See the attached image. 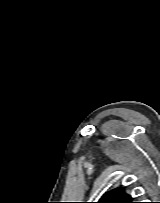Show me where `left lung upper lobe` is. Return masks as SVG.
<instances>
[{"instance_id": "obj_1", "label": "left lung upper lobe", "mask_w": 160, "mask_h": 203, "mask_svg": "<svg viewBox=\"0 0 160 203\" xmlns=\"http://www.w3.org/2000/svg\"><path fill=\"white\" fill-rule=\"evenodd\" d=\"M98 203H134V199L127 195L122 188H116L106 193Z\"/></svg>"}]
</instances>
